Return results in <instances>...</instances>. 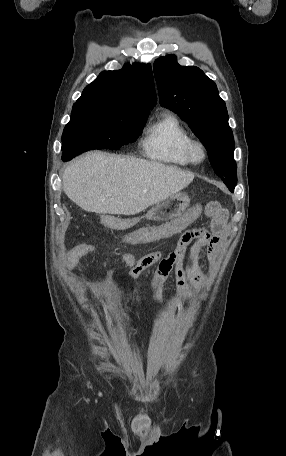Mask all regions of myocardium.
<instances>
[{
    "label": "myocardium",
    "mask_w": 286,
    "mask_h": 456,
    "mask_svg": "<svg viewBox=\"0 0 286 456\" xmlns=\"http://www.w3.org/2000/svg\"><path fill=\"white\" fill-rule=\"evenodd\" d=\"M199 150L201 152V158L195 157V152ZM186 153L190 163L198 165L205 161L207 157V149L205 144L199 139H191L187 145Z\"/></svg>",
    "instance_id": "obj_1"
}]
</instances>
